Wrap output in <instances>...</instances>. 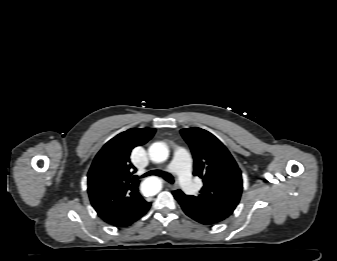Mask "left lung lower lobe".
<instances>
[{
    "label": "left lung lower lobe",
    "instance_id": "left-lung-lower-lobe-1",
    "mask_svg": "<svg viewBox=\"0 0 337 261\" xmlns=\"http://www.w3.org/2000/svg\"><path fill=\"white\" fill-rule=\"evenodd\" d=\"M173 195H174L175 199L180 203L181 208L183 209L184 213L187 216H189L190 218H192L193 220H195L196 222H198L202 225H207V226H213V225L219 223V222L203 215L202 213L192 209L188 205L182 203L181 199H180V195L177 191H173Z\"/></svg>",
    "mask_w": 337,
    "mask_h": 261
}]
</instances>
